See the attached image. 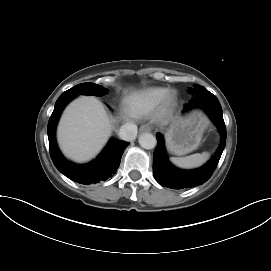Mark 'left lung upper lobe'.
<instances>
[{"label": "left lung upper lobe", "mask_w": 271, "mask_h": 271, "mask_svg": "<svg viewBox=\"0 0 271 271\" xmlns=\"http://www.w3.org/2000/svg\"><path fill=\"white\" fill-rule=\"evenodd\" d=\"M197 88V92H194L196 93V95L198 94H201V93H206V92H209L208 90H206L204 87H201V86H195Z\"/></svg>", "instance_id": "5c2ea615"}]
</instances>
